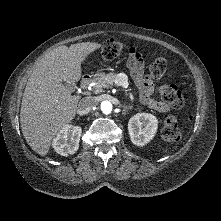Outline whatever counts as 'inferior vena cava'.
<instances>
[{
	"label": "inferior vena cava",
	"instance_id": "obj_1",
	"mask_svg": "<svg viewBox=\"0 0 221 221\" xmlns=\"http://www.w3.org/2000/svg\"><path fill=\"white\" fill-rule=\"evenodd\" d=\"M97 104L94 97H85L78 104V110L81 114H88Z\"/></svg>",
	"mask_w": 221,
	"mask_h": 221
}]
</instances>
